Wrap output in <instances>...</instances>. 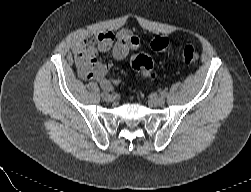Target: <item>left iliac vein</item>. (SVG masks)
Listing matches in <instances>:
<instances>
[{
	"instance_id": "obj_1",
	"label": "left iliac vein",
	"mask_w": 251,
	"mask_h": 192,
	"mask_svg": "<svg viewBox=\"0 0 251 192\" xmlns=\"http://www.w3.org/2000/svg\"><path fill=\"white\" fill-rule=\"evenodd\" d=\"M151 103L155 106H162L165 103V99L161 96H155L151 99Z\"/></svg>"
}]
</instances>
